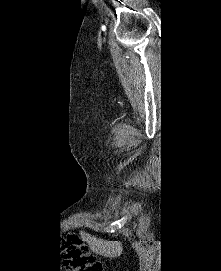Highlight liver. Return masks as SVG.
<instances>
[{
  "label": "liver",
  "mask_w": 221,
  "mask_h": 271,
  "mask_svg": "<svg viewBox=\"0 0 221 271\" xmlns=\"http://www.w3.org/2000/svg\"><path fill=\"white\" fill-rule=\"evenodd\" d=\"M84 237L88 241L90 249L99 253V255L117 257L123 251V245L119 241H107V239H101V237H95V235H89V233H85Z\"/></svg>",
  "instance_id": "1"
}]
</instances>
